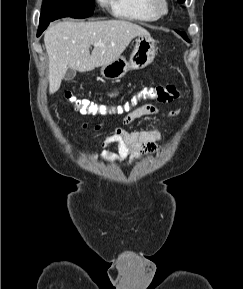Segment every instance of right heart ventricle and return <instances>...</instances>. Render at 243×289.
I'll list each match as a JSON object with an SVG mask.
<instances>
[{
	"label": "right heart ventricle",
	"instance_id": "right-heart-ventricle-1",
	"mask_svg": "<svg viewBox=\"0 0 243 289\" xmlns=\"http://www.w3.org/2000/svg\"><path fill=\"white\" fill-rule=\"evenodd\" d=\"M111 12L115 17L138 21L151 22L158 19L148 7L147 0H110Z\"/></svg>",
	"mask_w": 243,
	"mask_h": 289
}]
</instances>
